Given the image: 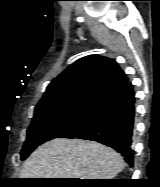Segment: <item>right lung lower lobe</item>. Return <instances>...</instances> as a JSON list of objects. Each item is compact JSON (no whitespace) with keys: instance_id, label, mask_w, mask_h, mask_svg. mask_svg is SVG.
<instances>
[{"instance_id":"right-lung-lower-lobe-1","label":"right lung lower lobe","mask_w":160,"mask_h":187,"mask_svg":"<svg viewBox=\"0 0 160 187\" xmlns=\"http://www.w3.org/2000/svg\"><path fill=\"white\" fill-rule=\"evenodd\" d=\"M134 104L133 85L128 82L98 100L86 116L58 138H78L102 143L115 149L132 167Z\"/></svg>"}]
</instances>
